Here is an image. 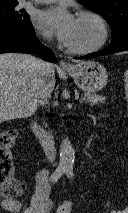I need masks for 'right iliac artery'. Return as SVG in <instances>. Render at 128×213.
Segmentation results:
<instances>
[{
    "label": "right iliac artery",
    "instance_id": "1",
    "mask_svg": "<svg viewBox=\"0 0 128 213\" xmlns=\"http://www.w3.org/2000/svg\"><path fill=\"white\" fill-rule=\"evenodd\" d=\"M66 166L65 165H59L56 170L53 172V174L50 177V180L52 183H55L58 181V179L62 176V174L65 172Z\"/></svg>",
    "mask_w": 128,
    "mask_h": 213
}]
</instances>
